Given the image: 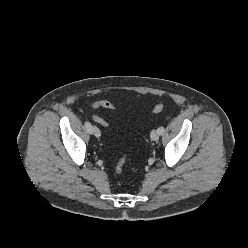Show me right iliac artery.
<instances>
[{"label":"right iliac artery","instance_id":"1","mask_svg":"<svg viewBox=\"0 0 248 248\" xmlns=\"http://www.w3.org/2000/svg\"><path fill=\"white\" fill-rule=\"evenodd\" d=\"M84 125H85L86 130H87L89 133H92V126H91V123L88 122V121H86Z\"/></svg>","mask_w":248,"mask_h":248}]
</instances>
